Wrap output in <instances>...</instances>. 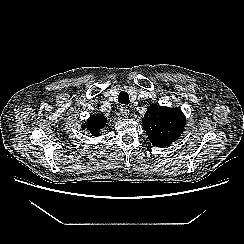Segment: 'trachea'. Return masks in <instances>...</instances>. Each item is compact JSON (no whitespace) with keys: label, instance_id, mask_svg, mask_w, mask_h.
Instances as JSON below:
<instances>
[{"label":"trachea","instance_id":"trachea-1","mask_svg":"<svg viewBox=\"0 0 244 244\" xmlns=\"http://www.w3.org/2000/svg\"><path fill=\"white\" fill-rule=\"evenodd\" d=\"M118 101L121 104L128 105L130 103L128 93L125 91L120 92L118 96Z\"/></svg>","mask_w":244,"mask_h":244}]
</instances>
